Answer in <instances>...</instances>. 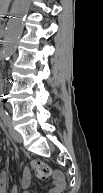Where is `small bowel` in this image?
I'll list each match as a JSON object with an SVG mask.
<instances>
[{
	"instance_id": "1",
	"label": "small bowel",
	"mask_w": 103,
	"mask_h": 193,
	"mask_svg": "<svg viewBox=\"0 0 103 193\" xmlns=\"http://www.w3.org/2000/svg\"><path fill=\"white\" fill-rule=\"evenodd\" d=\"M30 170L28 168H25L23 170V179H22V185L26 189L23 193H30L27 188L30 185ZM0 182H1V193H7L8 190V183H9V173L7 171H3L0 175ZM64 180L61 174L54 175L52 179V186L47 190L46 193H62L64 189ZM10 193H19V190L17 187L13 186L11 188Z\"/></svg>"
}]
</instances>
